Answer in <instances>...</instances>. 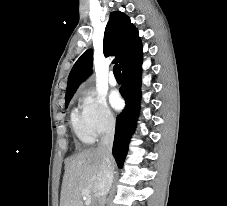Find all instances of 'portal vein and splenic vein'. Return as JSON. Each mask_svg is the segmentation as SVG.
Instances as JSON below:
<instances>
[{"label": "portal vein and splenic vein", "instance_id": "18ae733b", "mask_svg": "<svg viewBox=\"0 0 227 206\" xmlns=\"http://www.w3.org/2000/svg\"><path fill=\"white\" fill-rule=\"evenodd\" d=\"M82 192H83V194L85 196V204L86 205H90V203H91V196H90L89 191L86 190V189H84Z\"/></svg>", "mask_w": 227, "mask_h": 206}]
</instances>
